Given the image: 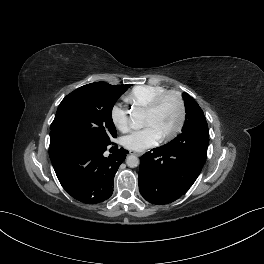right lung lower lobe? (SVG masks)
Masks as SVG:
<instances>
[{"mask_svg":"<svg viewBox=\"0 0 264 264\" xmlns=\"http://www.w3.org/2000/svg\"><path fill=\"white\" fill-rule=\"evenodd\" d=\"M107 147L79 140L50 146L49 156L58 180L75 199L94 204L112 195L115 173L128 151L121 148L105 157Z\"/></svg>","mask_w":264,"mask_h":264,"instance_id":"obj_1","label":"right lung lower lobe"}]
</instances>
